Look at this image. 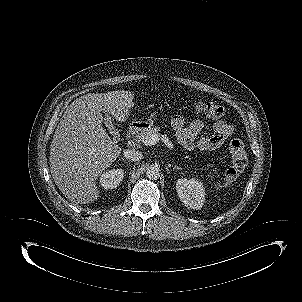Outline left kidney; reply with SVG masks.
Segmentation results:
<instances>
[{
    "label": "left kidney",
    "instance_id": "obj_1",
    "mask_svg": "<svg viewBox=\"0 0 302 302\" xmlns=\"http://www.w3.org/2000/svg\"><path fill=\"white\" fill-rule=\"evenodd\" d=\"M176 191L186 207L201 209L204 204L205 189L203 184L194 178H180L176 183Z\"/></svg>",
    "mask_w": 302,
    "mask_h": 302
}]
</instances>
